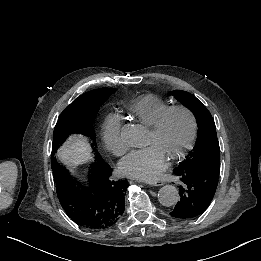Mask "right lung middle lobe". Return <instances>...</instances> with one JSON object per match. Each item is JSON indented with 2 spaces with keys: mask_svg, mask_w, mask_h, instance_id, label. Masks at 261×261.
<instances>
[{
  "mask_svg": "<svg viewBox=\"0 0 261 261\" xmlns=\"http://www.w3.org/2000/svg\"><path fill=\"white\" fill-rule=\"evenodd\" d=\"M115 91L116 89L112 88H100L89 91L76 98L63 110L53 132L51 167L54 173V179H58L65 171V168L57 162L55 153L59 146L66 141L68 136L73 133H79L89 137L93 141L92 148L96 155V161L101 160L97 152L92 119L97 114L100 106Z\"/></svg>",
  "mask_w": 261,
  "mask_h": 261,
  "instance_id": "obj_1",
  "label": "right lung middle lobe"
}]
</instances>
